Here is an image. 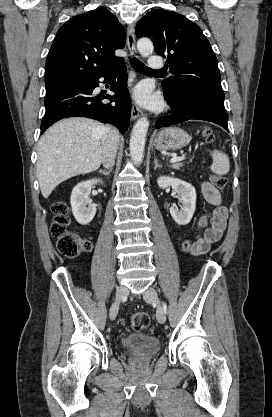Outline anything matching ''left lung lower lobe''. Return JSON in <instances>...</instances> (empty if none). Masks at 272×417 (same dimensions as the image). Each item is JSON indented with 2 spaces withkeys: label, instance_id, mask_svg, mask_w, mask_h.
I'll return each instance as SVG.
<instances>
[{
  "label": "left lung lower lobe",
  "instance_id": "0a47b994",
  "mask_svg": "<svg viewBox=\"0 0 272 417\" xmlns=\"http://www.w3.org/2000/svg\"><path fill=\"white\" fill-rule=\"evenodd\" d=\"M164 96L174 112L164 119H158L155 124L157 129L197 119L216 123L229 131L227 124L228 114L223 104L202 98L188 91L177 95H169L164 92Z\"/></svg>",
  "mask_w": 272,
  "mask_h": 417
}]
</instances>
